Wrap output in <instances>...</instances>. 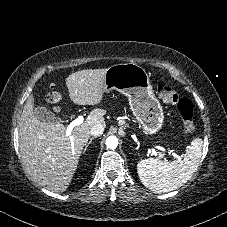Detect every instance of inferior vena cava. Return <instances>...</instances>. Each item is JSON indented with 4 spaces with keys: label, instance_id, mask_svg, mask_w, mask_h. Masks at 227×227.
<instances>
[{
    "label": "inferior vena cava",
    "instance_id": "inferior-vena-cava-1",
    "mask_svg": "<svg viewBox=\"0 0 227 227\" xmlns=\"http://www.w3.org/2000/svg\"><path fill=\"white\" fill-rule=\"evenodd\" d=\"M105 126L103 124H95L91 127L90 133L93 136H100L103 134Z\"/></svg>",
    "mask_w": 227,
    "mask_h": 227
}]
</instances>
